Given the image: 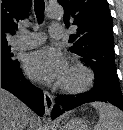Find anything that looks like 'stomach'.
Listing matches in <instances>:
<instances>
[{
  "mask_svg": "<svg viewBox=\"0 0 123 130\" xmlns=\"http://www.w3.org/2000/svg\"><path fill=\"white\" fill-rule=\"evenodd\" d=\"M60 130H88L87 120L84 118H72L61 126Z\"/></svg>",
  "mask_w": 123,
  "mask_h": 130,
  "instance_id": "1",
  "label": "stomach"
}]
</instances>
